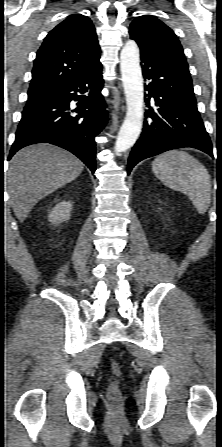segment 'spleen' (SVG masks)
<instances>
[{
    "label": "spleen",
    "instance_id": "obj_1",
    "mask_svg": "<svg viewBox=\"0 0 222 447\" xmlns=\"http://www.w3.org/2000/svg\"><path fill=\"white\" fill-rule=\"evenodd\" d=\"M152 171L162 183L186 194L199 214L210 204L211 182L207 169L185 151L171 150L157 156Z\"/></svg>",
    "mask_w": 222,
    "mask_h": 447
}]
</instances>
